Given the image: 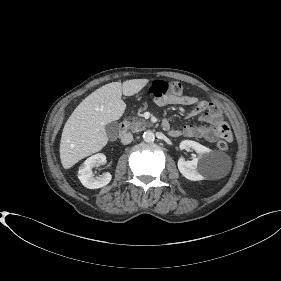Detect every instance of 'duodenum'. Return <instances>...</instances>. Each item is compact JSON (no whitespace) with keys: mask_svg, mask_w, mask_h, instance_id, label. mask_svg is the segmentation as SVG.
Returning <instances> with one entry per match:
<instances>
[{"mask_svg":"<svg viewBox=\"0 0 281 281\" xmlns=\"http://www.w3.org/2000/svg\"><path fill=\"white\" fill-rule=\"evenodd\" d=\"M162 126L165 128L167 126L166 122L162 123ZM127 131V123L125 121L120 123L119 134H124Z\"/></svg>","mask_w":281,"mask_h":281,"instance_id":"duodenum-1","label":"duodenum"}]
</instances>
